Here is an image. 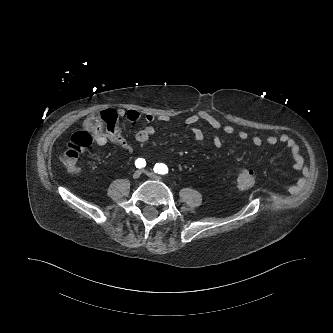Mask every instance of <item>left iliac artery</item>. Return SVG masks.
I'll return each instance as SVG.
<instances>
[{"label": "left iliac artery", "mask_w": 333, "mask_h": 333, "mask_svg": "<svg viewBox=\"0 0 333 333\" xmlns=\"http://www.w3.org/2000/svg\"><path fill=\"white\" fill-rule=\"evenodd\" d=\"M154 172L158 174L165 175L168 173V167L163 163H157L154 166Z\"/></svg>", "instance_id": "44dca946"}]
</instances>
